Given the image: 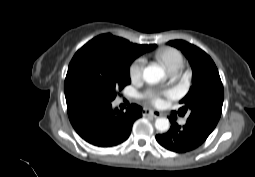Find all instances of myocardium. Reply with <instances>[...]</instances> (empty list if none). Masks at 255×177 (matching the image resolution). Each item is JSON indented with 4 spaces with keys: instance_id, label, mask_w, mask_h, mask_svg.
<instances>
[{
    "instance_id": "f54148a6",
    "label": "myocardium",
    "mask_w": 255,
    "mask_h": 177,
    "mask_svg": "<svg viewBox=\"0 0 255 177\" xmlns=\"http://www.w3.org/2000/svg\"><path fill=\"white\" fill-rule=\"evenodd\" d=\"M181 71H182V70H180V71L177 73V75H180Z\"/></svg>"
}]
</instances>
